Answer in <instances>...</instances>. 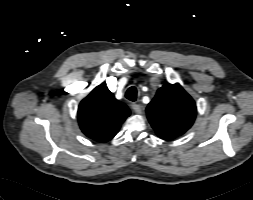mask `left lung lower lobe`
<instances>
[{
    "instance_id": "obj_1",
    "label": "left lung lower lobe",
    "mask_w": 253,
    "mask_h": 200,
    "mask_svg": "<svg viewBox=\"0 0 253 200\" xmlns=\"http://www.w3.org/2000/svg\"><path fill=\"white\" fill-rule=\"evenodd\" d=\"M161 138L166 139V140L173 139V138H170V137H161Z\"/></svg>"
}]
</instances>
